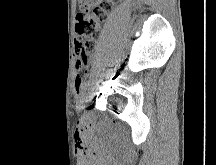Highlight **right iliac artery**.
Segmentation results:
<instances>
[{
    "label": "right iliac artery",
    "mask_w": 216,
    "mask_h": 165,
    "mask_svg": "<svg viewBox=\"0 0 216 165\" xmlns=\"http://www.w3.org/2000/svg\"><path fill=\"white\" fill-rule=\"evenodd\" d=\"M92 78L90 77L86 83V94L85 96L82 97L81 103L85 104L87 103V100H90V94H91V84H92Z\"/></svg>",
    "instance_id": "1"
}]
</instances>
